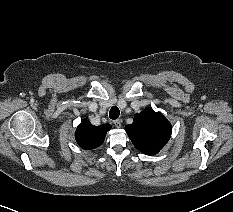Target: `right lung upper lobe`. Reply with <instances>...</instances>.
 Instances as JSON below:
<instances>
[{"label": "right lung upper lobe", "mask_w": 233, "mask_h": 212, "mask_svg": "<svg viewBox=\"0 0 233 212\" xmlns=\"http://www.w3.org/2000/svg\"><path fill=\"white\" fill-rule=\"evenodd\" d=\"M110 128L109 124L94 126L84 119L75 132V138L81 148L92 150L104 142L105 135Z\"/></svg>", "instance_id": "cb5924a9"}]
</instances>
